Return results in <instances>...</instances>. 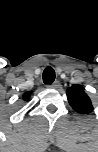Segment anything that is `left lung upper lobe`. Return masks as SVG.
<instances>
[{
    "instance_id": "1",
    "label": "left lung upper lobe",
    "mask_w": 98,
    "mask_h": 152,
    "mask_svg": "<svg viewBox=\"0 0 98 152\" xmlns=\"http://www.w3.org/2000/svg\"><path fill=\"white\" fill-rule=\"evenodd\" d=\"M66 94L69 104L76 112L89 114L93 111L91 100L81 85H73L69 87Z\"/></svg>"
}]
</instances>
